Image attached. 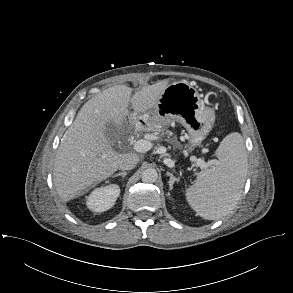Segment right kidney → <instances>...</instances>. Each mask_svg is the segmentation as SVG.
Returning <instances> with one entry per match:
<instances>
[{"mask_svg": "<svg viewBox=\"0 0 293 293\" xmlns=\"http://www.w3.org/2000/svg\"><path fill=\"white\" fill-rule=\"evenodd\" d=\"M119 194L120 188L115 184L96 188L87 197L86 205L94 212H104L113 207Z\"/></svg>", "mask_w": 293, "mask_h": 293, "instance_id": "right-kidney-1", "label": "right kidney"}]
</instances>
